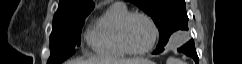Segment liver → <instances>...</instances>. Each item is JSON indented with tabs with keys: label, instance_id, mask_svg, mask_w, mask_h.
Returning a JSON list of instances; mask_svg holds the SVG:
<instances>
[{
	"label": "liver",
	"instance_id": "liver-1",
	"mask_svg": "<svg viewBox=\"0 0 242 64\" xmlns=\"http://www.w3.org/2000/svg\"><path fill=\"white\" fill-rule=\"evenodd\" d=\"M148 60L141 58L133 59H73L67 62V64H142L146 63Z\"/></svg>",
	"mask_w": 242,
	"mask_h": 64
}]
</instances>
